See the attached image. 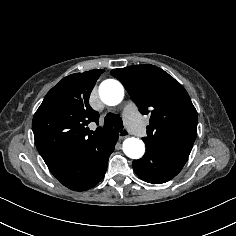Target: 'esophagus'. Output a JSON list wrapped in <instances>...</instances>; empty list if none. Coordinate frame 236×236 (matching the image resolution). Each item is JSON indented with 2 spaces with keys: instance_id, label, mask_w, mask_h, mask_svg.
I'll return each instance as SVG.
<instances>
[{
  "instance_id": "esophagus-1",
  "label": "esophagus",
  "mask_w": 236,
  "mask_h": 236,
  "mask_svg": "<svg viewBox=\"0 0 236 236\" xmlns=\"http://www.w3.org/2000/svg\"><path fill=\"white\" fill-rule=\"evenodd\" d=\"M129 131L127 130V129H123L122 131H120V133H119V138L120 139H124V138H126V137H128L129 136Z\"/></svg>"
}]
</instances>
